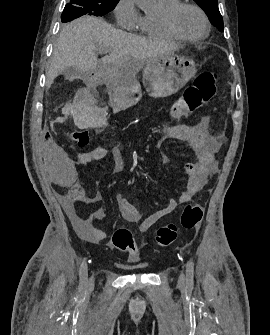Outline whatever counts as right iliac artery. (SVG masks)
Returning a JSON list of instances; mask_svg holds the SVG:
<instances>
[{
  "label": "right iliac artery",
  "instance_id": "82829eb1",
  "mask_svg": "<svg viewBox=\"0 0 270 335\" xmlns=\"http://www.w3.org/2000/svg\"><path fill=\"white\" fill-rule=\"evenodd\" d=\"M87 288V263L84 260L80 267V284H79V291L81 294L86 292Z\"/></svg>",
  "mask_w": 270,
  "mask_h": 335
}]
</instances>
